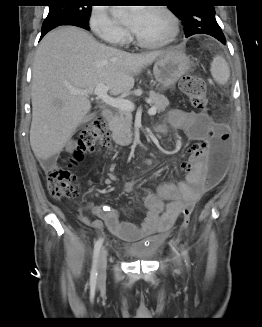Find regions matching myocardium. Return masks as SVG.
<instances>
[{
  "label": "myocardium",
  "mask_w": 262,
  "mask_h": 327,
  "mask_svg": "<svg viewBox=\"0 0 262 327\" xmlns=\"http://www.w3.org/2000/svg\"><path fill=\"white\" fill-rule=\"evenodd\" d=\"M149 9H152L154 11H157L161 14H163L171 27V32L168 35V37H166L163 40L160 41H150V40H146L142 37H140L135 31L132 32V36L135 40V42L137 44H139L140 46L143 47H147V48H161V47H165L168 46L170 44H172L173 42H175V40L177 39L179 33H180V25H179V20L177 18V16L166 6L164 5H154L152 7H150Z\"/></svg>",
  "instance_id": "obj_1"
}]
</instances>
